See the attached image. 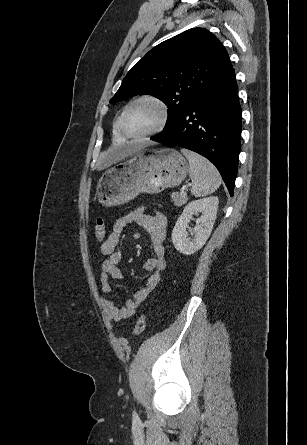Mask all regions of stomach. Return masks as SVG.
I'll return each instance as SVG.
<instances>
[{"instance_id": "1", "label": "stomach", "mask_w": 307, "mask_h": 445, "mask_svg": "<svg viewBox=\"0 0 307 445\" xmlns=\"http://www.w3.org/2000/svg\"><path fill=\"white\" fill-rule=\"evenodd\" d=\"M188 168L186 158L174 148H142L130 160L103 172L96 196L103 206L124 204L141 192L156 194L168 186H178Z\"/></svg>"}]
</instances>
